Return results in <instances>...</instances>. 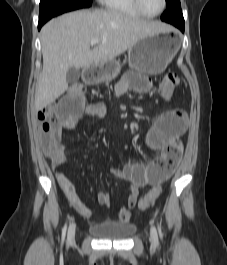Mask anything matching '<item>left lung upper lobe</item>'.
<instances>
[{
    "label": "left lung upper lobe",
    "mask_w": 227,
    "mask_h": 265,
    "mask_svg": "<svg viewBox=\"0 0 227 265\" xmlns=\"http://www.w3.org/2000/svg\"><path fill=\"white\" fill-rule=\"evenodd\" d=\"M166 2L167 9L162 14L161 19L168 23H172L173 21L184 22L180 0H166Z\"/></svg>",
    "instance_id": "obj_1"
}]
</instances>
